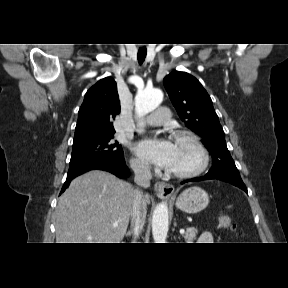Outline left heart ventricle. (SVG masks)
Listing matches in <instances>:
<instances>
[{
    "mask_svg": "<svg viewBox=\"0 0 288 288\" xmlns=\"http://www.w3.org/2000/svg\"><path fill=\"white\" fill-rule=\"evenodd\" d=\"M175 152L168 170L182 171L195 167L199 162L197 151L186 141H174Z\"/></svg>",
    "mask_w": 288,
    "mask_h": 288,
    "instance_id": "b2bd125f",
    "label": "left heart ventricle"
}]
</instances>
